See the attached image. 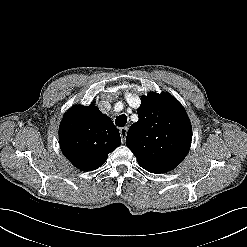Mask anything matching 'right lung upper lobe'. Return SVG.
<instances>
[{"label":"right lung upper lobe","mask_w":247,"mask_h":247,"mask_svg":"<svg viewBox=\"0 0 247 247\" xmlns=\"http://www.w3.org/2000/svg\"><path fill=\"white\" fill-rule=\"evenodd\" d=\"M64 156L78 169L93 171L120 146L119 130L98 107L75 105L63 116L59 128Z\"/></svg>","instance_id":"cb5924a9"}]
</instances>
